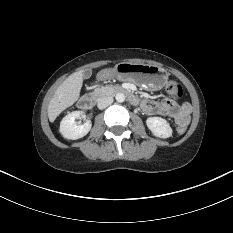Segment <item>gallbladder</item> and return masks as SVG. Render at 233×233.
<instances>
[{
	"label": "gallbladder",
	"mask_w": 233,
	"mask_h": 233,
	"mask_svg": "<svg viewBox=\"0 0 233 233\" xmlns=\"http://www.w3.org/2000/svg\"><path fill=\"white\" fill-rule=\"evenodd\" d=\"M91 75H92V71H91L90 69H85V70L83 71V78H84V79L90 78Z\"/></svg>",
	"instance_id": "obj_1"
}]
</instances>
